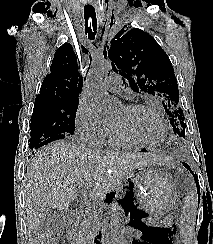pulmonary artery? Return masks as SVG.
Listing matches in <instances>:
<instances>
[{
	"label": "pulmonary artery",
	"instance_id": "obj_1",
	"mask_svg": "<svg viewBox=\"0 0 213 244\" xmlns=\"http://www.w3.org/2000/svg\"><path fill=\"white\" fill-rule=\"evenodd\" d=\"M104 86L111 93H120L122 90V76L119 74H111Z\"/></svg>",
	"mask_w": 213,
	"mask_h": 244
}]
</instances>
